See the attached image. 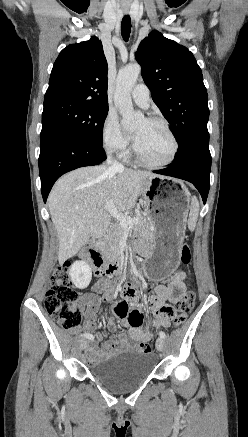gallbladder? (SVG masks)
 <instances>
[{
	"instance_id": "1",
	"label": "gallbladder",
	"mask_w": 248,
	"mask_h": 437,
	"mask_svg": "<svg viewBox=\"0 0 248 437\" xmlns=\"http://www.w3.org/2000/svg\"><path fill=\"white\" fill-rule=\"evenodd\" d=\"M92 240H93V237H90V239H89V241H88V244H91V243H92Z\"/></svg>"
}]
</instances>
